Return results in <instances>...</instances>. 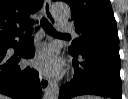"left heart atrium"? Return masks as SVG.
I'll use <instances>...</instances> for the list:
<instances>
[{"label":"left heart atrium","instance_id":"1","mask_svg":"<svg viewBox=\"0 0 128 99\" xmlns=\"http://www.w3.org/2000/svg\"><path fill=\"white\" fill-rule=\"evenodd\" d=\"M33 66L45 75L58 74L62 69V62L52 48L41 50L32 61Z\"/></svg>","mask_w":128,"mask_h":99}]
</instances>
